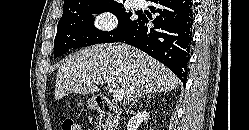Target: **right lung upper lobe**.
<instances>
[{
	"label": "right lung upper lobe",
	"instance_id": "obj_1",
	"mask_svg": "<svg viewBox=\"0 0 249 130\" xmlns=\"http://www.w3.org/2000/svg\"><path fill=\"white\" fill-rule=\"evenodd\" d=\"M105 2H114V0H64L63 10L76 11L93 4Z\"/></svg>",
	"mask_w": 249,
	"mask_h": 130
}]
</instances>
